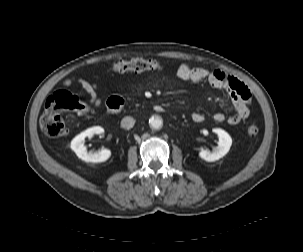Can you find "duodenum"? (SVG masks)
Masks as SVG:
<instances>
[{"mask_svg":"<svg viewBox=\"0 0 303 252\" xmlns=\"http://www.w3.org/2000/svg\"><path fill=\"white\" fill-rule=\"evenodd\" d=\"M124 105V101L121 98H116L113 103H111L108 107V112L110 114L116 113L118 111H121ZM153 109L157 112L163 111V106L160 104H156L153 106Z\"/></svg>","mask_w":303,"mask_h":252,"instance_id":"duodenum-1","label":"duodenum"}]
</instances>
